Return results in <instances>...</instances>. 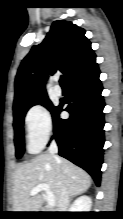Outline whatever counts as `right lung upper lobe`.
Returning a JSON list of instances; mask_svg holds the SVG:
<instances>
[{
	"label": "right lung upper lobe",
	"instance_id": "obj_1",
	"mask_svg": "<svg viewBox=\"0 0 123 219\" xmlns=\"http://www.w3.org/2000/svg\"><path fill=\"white\" fill-rule=\"evenodd\" d=\"M84 34L85 30L72 22L60 20L52 24L44 41L33 46L18 69L13 108L46 95L48 74L60 70L68 80L95 58Z\"/></svg>",
	"mask_w": 123,
	"mask_h": 219
}]
</instances>
